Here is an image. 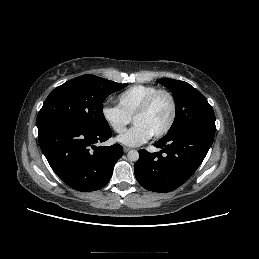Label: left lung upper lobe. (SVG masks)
<instances>
[{"instance_id": "1", "label": "left lung upper lobe", "mask_w": 259, "mask_h": 259, "mask_svg": "<svg viewBox=\"0 0 259 259\" xmlns=\"http://www.w3.org/2000/svg\"><path fill=\"white\" fill-rule=\"evenodd\" d=\"M174 97L176 114L168 133L190 127L201 126L216 130L215 114L206 98L189 83L174 79H158Z\"/></svg>"}]
</instances>
